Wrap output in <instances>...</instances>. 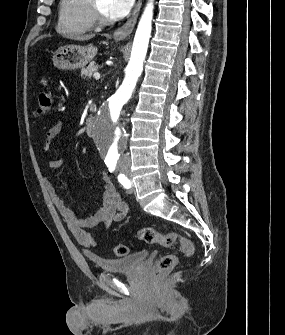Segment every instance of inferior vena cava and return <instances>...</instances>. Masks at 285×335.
<instances>
[{"label": "inferior vena cava", "mask_w": 285, "mask_h": 335, "mask_svg": "<svg viewBox=\"0 0 285 335\" xmlns=\"http://www.w3.org/2000/svg\"><path fill=\"white\" fill-rule=\"evenodd\" d=\"M123 160H125V162L126 160H129L128 156H123Z\"/></svg>", "instance_id": "obj_1"}]
</instances>
